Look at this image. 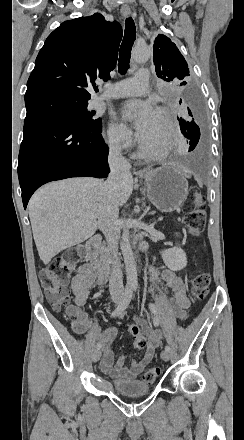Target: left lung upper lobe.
<instances>
[{"instance_id":"1","label":"left lung upper lobe","mask_w":244,"mask_h":440,"mask_svg":"<svg viewBox=\"0 0 244 440\" xmlns=\"http://www.w3.org/2000/svg\"><path fill=\"white\" fill-rule=\"evenodd\" d=\"M153 61L159 78L166 82L188 79V64L176 45L165 35H158L153 46ZM183 81L180 85H186Z\"/></svg>"}]
</instances>
